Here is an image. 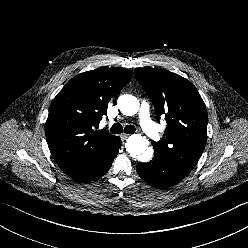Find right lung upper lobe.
<instances>
[{"label":"right lung upper lobe","mask_w":248,"mask_h":248,"mask_svg":"<svg viewBox=\"0 0 248 248\" xmlns=\"http://www.w3.org/2000/svg\"><path fill=\"white\" fill-rule=\"evenodd\" d=\"M132 78L129 70L100 67L73 77L53 100L45 125L50 152L64 173L98 158L114 135L94 130L108 102Z\"/></svg>","instance_id":"cb5924a9"}]
</instances>
